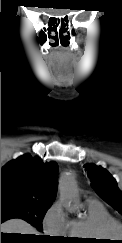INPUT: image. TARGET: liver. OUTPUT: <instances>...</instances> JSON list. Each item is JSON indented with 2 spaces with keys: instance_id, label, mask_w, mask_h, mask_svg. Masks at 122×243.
Segmentation results:
<instances>
[{
  "instance_id": "liver-1",
  "label": "liver",
  "mask_w": 122,
  "mask_h": 243,
  "mask_svg": "<svg viewBox=\"0 0 122 243\" xmlns=\"http://www.w3.org/2000/svg\"><path fill=\"white\" fill-rule=\"evenodd\" d=\"M1 232L39 235L38 231L21 219H10L1 224Z\"/></svg>"
}]
</instances>
